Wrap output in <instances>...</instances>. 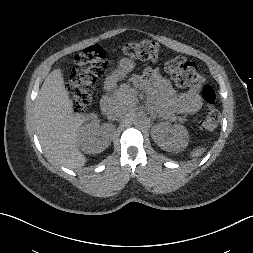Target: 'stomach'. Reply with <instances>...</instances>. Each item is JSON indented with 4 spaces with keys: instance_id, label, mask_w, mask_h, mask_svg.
I'll return each mask as SVG.
<instances>
[{
    "instance_id": "1",
    "label": "stomach",
    "mask_w": 253,
    "mask_h": 253,
    "mask_svg": "<svg viewBox=\"0 0 253 253\" xmlns=\"http://www.w3.org/2000/svg\"><path fill=\"white\" fill-rule=\"evenodd\" d=\"M136 63L130 58H123L119 61L118 68L111 75L110 82L116 81L118 78L125 77L135 69Z\"/></svg>"
}]
</instances>
